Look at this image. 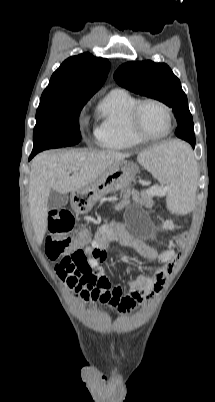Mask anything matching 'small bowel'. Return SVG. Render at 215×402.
<instances>
[{
	"label": "small bowel",
	"mask_w": 215,
	"mask_h": 402,
	"mask_svg": "<svg viewBox=\"0 0 215 402\" xmlns=\"http://www.w3.org/2000/svg\"><path fill=\"white\" fill-rule=\"evenodd\" d=\"M145 204L149 201L143 200ZM82 234V233H81ZM110 241H117L121 245L142 251L150 256L157 255L155 249L136 239L120 223L102 227L93 237L91 244H86L81 263H74L71 267L56 266L57 273L69 288L73 296L85 301L107 304L120 314H129L147 300H152L159 292L169 274L167 267L159 269L153 277L139 274L129 282L127 293L118 284H112L105 275L101 264L106 261ZM173 257L170 250L159 254V259L167 263ZM81 266L86 267L82 271Z\"/></svg>",
	"instance_id": "1"
}]
</instances>
